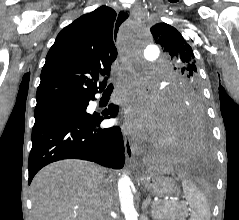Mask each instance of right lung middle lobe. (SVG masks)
<instances>
[{
    "instance_id": "obj_1",
    "label": "right lung middle lobe",
    "mask_w": 239,
    "mask_h": 220,
    "mask_svg": "<svg viewBox=\"0 0 239 220\" xmlns=\"http://www.w3.org/2000/svg\"><path fill=\"white\" fill-rule=\"evenodd\" d=\"M67 115V116H90L86 113V110H80L77 103L69 104H53L35 108V117L40 115Z\"/></svg>"
}]
</instances>
